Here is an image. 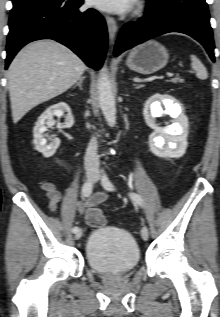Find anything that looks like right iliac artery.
Returning <instances> with one entry per match:
<instances>
[{"mask_svg": "<svg viewBox=\"0 0 220 317\" xmlns=\"http://www.w3.org/2000/svg\"><path fill=\"white\" fill-rule=\"evenodd\" d=\"M92 189H93L92 182L88 181V182L84 183V185L82 187L83 196L89 197L92 193ZM78 230H79V228L77 226L72 228L73 233H76Z\"/></svg>", "mask_w": 220, "mask_h": 317, "instance_id": "obj_1", "label": "right iliac artery"}]
</instances>
